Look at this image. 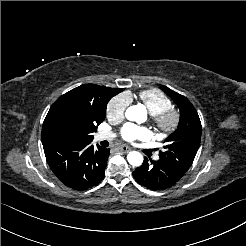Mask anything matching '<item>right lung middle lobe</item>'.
Instances as JSON below:
<instances>
[{
    "instance_id": "right-lung-middle-lobe-1",
    "label": "right lung middle lobe",
    "mask_w": 246,
    "mask_h": 246,
    "mask_svg": "<svg viewBox=\"0 0 246 246\" xmlns=\"http://www.w3.org/2000/svg\"><path fill=\"white\" fill-rule=\"evenodd\" d=\"M105 113L77 115L64 113L52 125L51 134L54 142H91L97 126L105 119Z\"/></svg>"
}]
</instances>
